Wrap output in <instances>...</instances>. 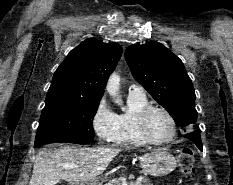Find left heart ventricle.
Here are the masks:
<instances>
[{"label":"left heart ventricle","instance_id":"left-heart-ventricle-1","mask_svg":"<svg viewBox=\"0 0 233 185\" xmlns=\"http://www.w3.org/2000/svg\"><path fill=\"white\" fill-rule=\"evenodd\" d=\"M147 128L150 136L155 140H164L172 132V125L169 118L161 111H153L149 115Z\"/></svg>","mask_w":233,"mask_h":185}]
</instances>
